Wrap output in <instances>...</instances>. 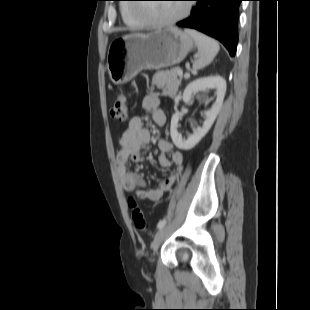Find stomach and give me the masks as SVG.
<instances>
[{
	"mask_svg": "<svg viewBox=\"0 0 310 310\" xmlns=\"http://www.w3.org/2000/svg\"><path fill=\"white\" fill-rule=\"evenodd\" d=\"M193 46L192 37L175 27L117 38L108 49L109 78L113 84L121 85L142 70L171 67L180 63Z\"/></svg>",
	"mask_w": 310,
	"mask_h": 310,
	"instance_id": "obj_1",
	"label": "stomach"
}]
</instances>
